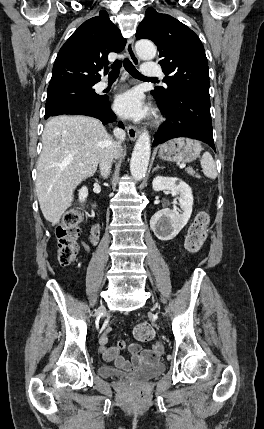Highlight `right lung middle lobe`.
I'll return each instance as SVG.
<instances>
[{
  "instance_id": "obj_1",
  "label": "right lung middle lobe",
  "mask_w": 264,
  "mask_h": 429,
  "mask_svg": "<svg viewBox=\"0 0 264 429\" xmlns=\"http://www.w3.org/2000/svg\"><path fill=\"white\" fill-rule=\"evenodd\" d=\"M94 84H68L48 88L45 118L62 106L74 101L99 103L103 97L95 93Z\"/></svg>"
}]
</instances>
